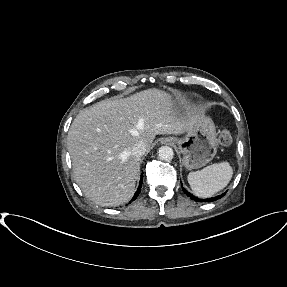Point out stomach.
I'll return each mask as SVG.
<instances>
[{"instance_id": "0dacf381", "label": "stomach", "mask_w": 287, "mask_h": 287, "mask_svg": "<svg viewBox=\"0 0 287 287\" xmlns=\"http://www.w3.org/2000/svg\"><path fill=\"white\" fill-rule=\"evenodd\" d=\"M216 137V128L212 120L205 116L200 117L178 141L184 166L192 170L208 164L217 152Z\"/></svg>"}]
</instances>
